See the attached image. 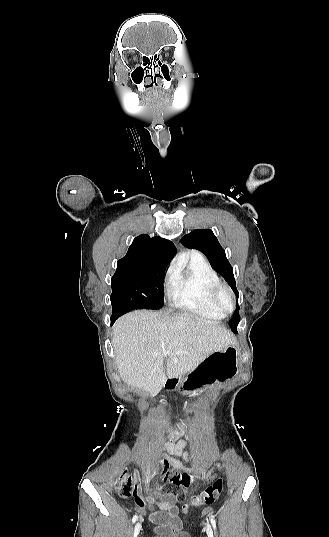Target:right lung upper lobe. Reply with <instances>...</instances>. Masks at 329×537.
<instances>
[{"mask_svg": "<svg viewBox=\"0 0 329 537\" xmlns=\"http://www.w3.org/2000/svg\"><path fill=\"white\" fill-rule=\"evenodd\" d=\"M174 244L161 237L142 234L133 240L125 257L118 260L117 270L149 265H168L175 256Z\"/></svg>", "mask_w": 329, "mask_h": 537, "instance_id": "1", "label": "right lung upper lobe"}]
</instances>
